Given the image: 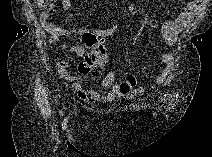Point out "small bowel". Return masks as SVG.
Masks as SVG:
<instances>
[{
	"label": "small bowel",
	"instance_id": "c3829d8e",
	"mask_svg": "<svg viewBox=\"0 0 212 157\" xmlns=\"http://www.w3.org/2000/svg\"><path fill=\"white\" fill-rule=\"evenodd\" d=\"M61 7L65 12H70L72 9L71 0H62ZM199 9L200 3L198 1H188L174 19L163 22L161 25V32L167 45H174L177 42L178 36L190 24ZM47 18V13L42 11L40 13V22L44 30L48 33V43L50 47L75 54L78 58L83 56V50L79 46L68 42L57 45L62 37L90 33L98 37L105 38L113 36L118 31L117 24L106 29L85 27L78 29H66L49 22ZM158 64L164 65L163 71L157 77V83L163 85L171 78L174 70V58L170 53H164L157 60L153 61L150 68H153ZM68 65L67 61H58L56 64L58 75L61 78L72 82V87L76 94L88 103L110 102L118 97H129L143 91L141 87L137 86V79L135 76L129 75L124 80L118 81L116 79L115 72L109 71L103 79V86L106 89V92L100 93L94 89L86 88L82 83V80L86 77L84 75L70 74L68 71Z\"/></svg>",
	"mask_w": 212,
	"mask_h": 157
}]
</instances>
